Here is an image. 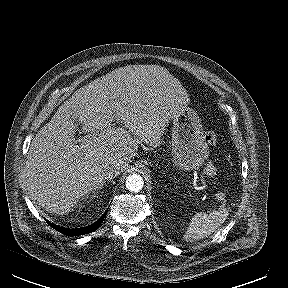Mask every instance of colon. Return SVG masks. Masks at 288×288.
I'll return each instance as SVG.
<instances>
[{"label":"colon","instance_id":"5ec220e1","mask_svg":"<svg viewBox=\"0 0 288 288\" xmlns=\"http://www.w3.org/2000/svg\"><path fill=\"white\" fill-rule=\"evenodd\" d=\"M205 141L207 144L213 146L217 143V135L213 131H208L205 135Z\"/></svg>","mask_w":288,"mask_h":288}]
</instances>
